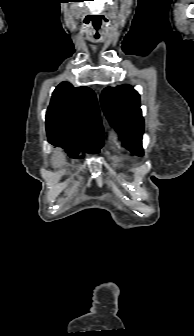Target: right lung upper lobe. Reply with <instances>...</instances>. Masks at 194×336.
<instances>
[{
  "label": "right lung upper lobe",
  "mask_w": 194,
  "mask_h": 336,
  "mask_svg": "<svg viewBox=\"0 0 194 336\" xmlns=\"http://www.w3.org/2000/svg\"><path fill=\"white\" fill-rule=\"evenodd\" d=\"M49 142L55 138L102 140V123L94 92L62 82L53 92L46 114Z\"/></svg>",
  "instance_id": "1"
}]
</instances>
